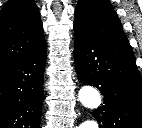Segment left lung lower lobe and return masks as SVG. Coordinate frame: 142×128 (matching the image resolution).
I'll use <instances>...</instances> for the list:
<instances>
[{
  "label": "left lung lower lobe",
  "mask_w": 142,
  "mask_h": 128,
  "mask_svg": "<svg viewBox=\"0 0 142 128\" xmlns=\"http://www.w3.org/2000/svg\"><path fill=\"white\" fill-rule=\"evenodd\" d=\"M79 79L98 88L104 106L93 112L100 128H142V78L132 49L74 26Z\"/></svg>",
  "instance_id": "obj_1"
}]
</instances>
